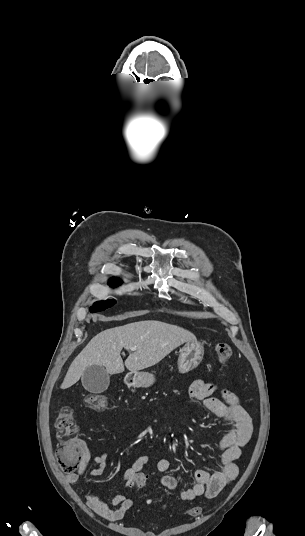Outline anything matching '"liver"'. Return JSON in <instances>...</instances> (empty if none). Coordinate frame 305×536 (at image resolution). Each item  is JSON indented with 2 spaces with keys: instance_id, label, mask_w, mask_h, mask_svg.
Segmentation results:
<instances>
[{
  "instance_id": "6515ba94",
  "label": "liver",
  "mask_w": 305,
  "mask_h": 536,
  "mask_svg": "<svg viewBox=\"0 0 305 536\" xmlns=\"http://www.w3.org/2000/svg\"><path fill=\"white\" fill-rule=\"evenodd\" d=\"M194 340V334L188 330L155 320L104 330L94 336L73 360L60 388H71L80 380L88 366H104L107 374H122L124 364L120 352L123 348L129 352L125 366L130 374H135L138 370L155 366L184 342Z\"/></svg>"
}]
</instances>
